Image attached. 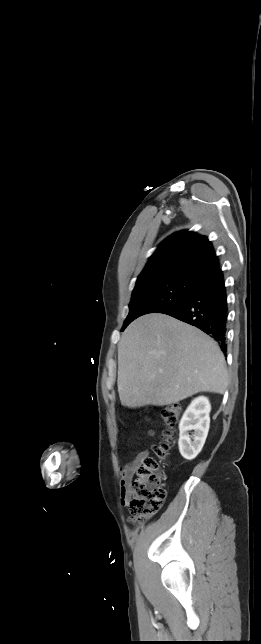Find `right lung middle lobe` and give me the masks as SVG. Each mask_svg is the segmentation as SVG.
<instances>
[{"mask_svg": "<svg viewBox=\"0 0 261 644\" xmlns=\"http://www.w3.org/2000/svg\"><path fill=\"white\" fill-rule=\"evenodd\" d=\"M195 282L184 278H167L136 286L122 331L144 314L160 313L182 302L193 289Z\"/></svg>", "mask_w": 261, "mask_h": 644, "instance_id": "obj_1", "label": "right lung middle lobe"}]
</instances>
